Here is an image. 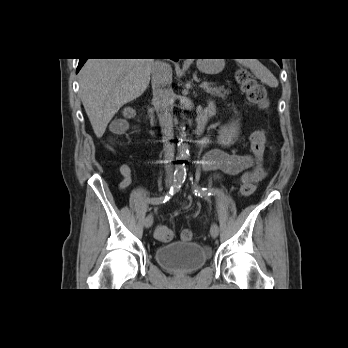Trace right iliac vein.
<instances>
[{
  "instance_id": "1",
  "label": "right iliac vein",
  "mask_w": 348,
  "mask_h": 348,
  "mask_svg": "<svg viewBox=\"0 0 348 348\" xmlns=\"http://www.w3.org/2000/svg\"><path fill=\"white\" fill-rule=\"evenodd\" d=\"M171 182H172L171 178L167 179V181H166L167 186H170ZM152 224H153V217H152V215H148L145 219L144 225L146 228H150L152 226Z\"/></svg>"
}]
</instances>
